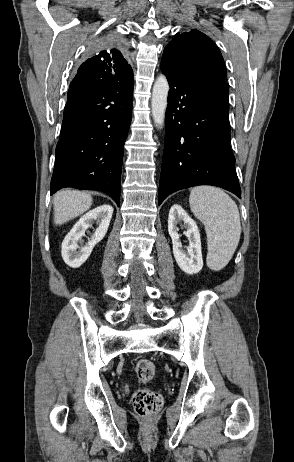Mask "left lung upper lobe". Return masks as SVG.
<instances>
[{
  "label": "left lung upper lobe",
  "mask_w": 294,
  "mask_h": 462,
  "mask_svg": "<svg viewBox=\"0 0 294 462\" xmlns=\"http://www.w3.org/2000/svg\"><path fill=\"white\" fill-rule=\"evenodd\" d=\"M161 65L170 71L206 80H224L226 67L219 48L202 32L177 33L165 47Z\"/></svg>",
  "instance_id": "obj_1"
}]
</instances>
